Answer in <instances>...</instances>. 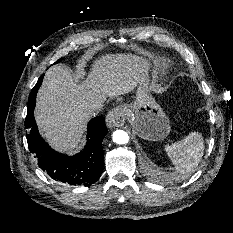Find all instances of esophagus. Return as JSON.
Listing matches in <instances>:
<instances>
[{"mask_svg": "<svg viewBox=\"0 0 233 233\" xmlns=\"http://www.w3.org/2000/svg\"><path fill=\"white\" fill-rule=\"evenodd\" d=\"M125 120L126 112L122 106L112 109L106 116V124L109 128L121 127L124 125Z\"/></svg>", "mask_w": 233, "mask_h": 233, "instance_id": "34e87169", "label": "esophagus"}]
</instances>
